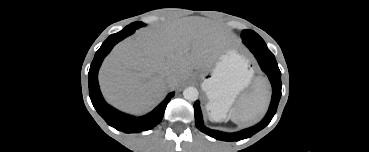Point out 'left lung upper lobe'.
<instances>
[{
  "mask_svg": "<svg viewBox=\"0 0 369 152\" xmlns=\"http://www.w3.org/2000/svg\"><path fill=\"white\" fill-rule=\"evenodd\" d=\"M241 38L244 44L251 49V47H255L262 53L272 54L269 49L267 48L263 39L254 31L252 30H243L241 33Z\"/></svg>",
  "mask_w": 369,
  "mask_h": 152,
  "instance_id": "1",
  "label": "left lung upper lobe"
}]
</instances>
